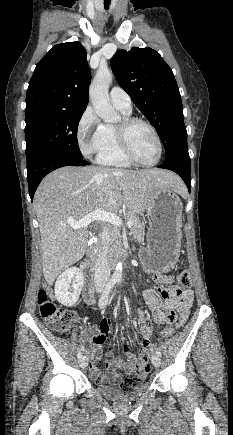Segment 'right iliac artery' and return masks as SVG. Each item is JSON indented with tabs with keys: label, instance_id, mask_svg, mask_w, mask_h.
Returning <instances> with one entry per match:
<instances>
[{
	"label": "right iliac artery",
	"instance_id": "82829eb1",
	"mask_svg": "<svg viewBox=\"0 0 233 435\" xmlns=\"http://www.w3.org/2000/svg\"><path fill=\"white\" fill-rule=\"evenodd\" d=\"M116 282H117V279L112 278L106 284V287H105V289H104V291H103V293H102V295H101V297L99 299L98 305H99L100 308H104L106 306V304L108 302L109 293L111 292V290L114 287ZM81 356H82V353L78 352L77 353V357L81 358Z\"/></svg>",
	"mask_w": 233,
	"mask_h": 435
}]
</instances>
